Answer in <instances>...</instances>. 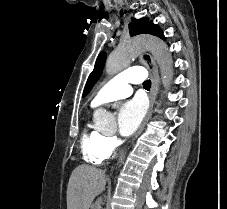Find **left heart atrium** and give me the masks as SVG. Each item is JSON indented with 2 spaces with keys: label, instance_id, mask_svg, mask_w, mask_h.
Masks as SVG:
<instances>
[{
  "label": "left heart atrium",
  "instance_id": "obj_1",
  "mask_svg": "<svg viewBox=\"0 0 227 209\" xmlns=\"http://www.w3.org/2000/svg\"><path fill=\"white\" fill-rule=\"evenodd\" d=\"M145 113L144 103L136 98L122 103L119 109V132L131 136L138 128Z\"/></svg>",
  "mask_w": 227,
  "mask_h": 209
}]
</instances>
